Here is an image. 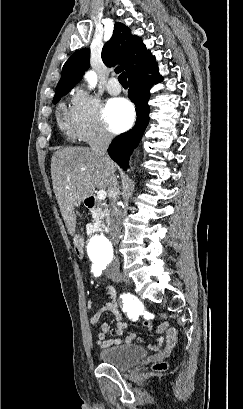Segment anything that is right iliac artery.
I'll return each mask as SVG.
<instances>
[{"instance_id": "obj_1", "label": "right iliac artery", "mask_w": 243, "mask_h": 409, "mask_svg": "<svg viewBox=\"0 0 243 409\" xmlns=\"http://www.w3.org/2000/svg\"><path fill=\"white\" fill-rule=\"evenodd\" d=\"M92 272H93L94 276L98 277V276L101 275L102 269H101V268H93V269H92ZM123 302H124V301H123ZM126 304H127V302H126Z\"/></svg>"}]
</instances>
